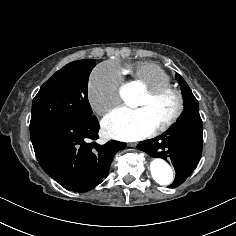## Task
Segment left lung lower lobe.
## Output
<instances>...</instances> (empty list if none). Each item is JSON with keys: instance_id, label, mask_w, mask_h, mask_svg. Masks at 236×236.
<instances>
[{"instance_id": "1", "label": "left lung lower lobe", "mask_w": 236, "mask_h": 236, "mask_svg": "<svg viewBox=\"0 0 236 236\" xmlns=\"http://www.w3.org/2000/svg\"><path fill=\"white\" fill-rule=\"evenodd\" d=\"M203 146L202 123L177 122L159 138L142 141L137 148L151 157H159L172 163L176 176L168 186L182 184L198 165Z\"/></svg>"}]
</instances>
